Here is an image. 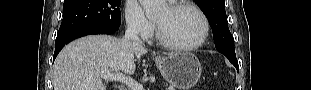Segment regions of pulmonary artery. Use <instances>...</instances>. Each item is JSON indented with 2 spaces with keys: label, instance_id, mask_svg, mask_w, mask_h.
I'll list each match as a JSON object with an SVG mask.
<instances>
[{
  "label": "pulmonary artery",
  "instance_id": "obj_1",
  "mask_svg": "<svg viewBox=\"0 0 311 90\" xmlns=\"http://www.w3.org/2000/svg\"><path fill=\"white\" fill-rule=\"evenodd\" d=\"M170 3H174L175 2V0H168Z\"/></svg>",
  "mask_w": 311,
  "mask_h": 90
}]
</instances>
